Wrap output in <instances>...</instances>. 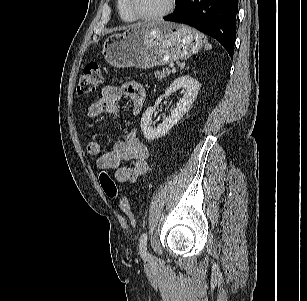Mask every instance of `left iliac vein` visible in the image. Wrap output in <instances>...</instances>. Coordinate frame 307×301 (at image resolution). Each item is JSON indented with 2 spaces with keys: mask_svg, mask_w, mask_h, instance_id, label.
Wrapping results in <instances>:
<instances>
[{
  "mask_svg": "<svg viewBox=\"0 0 307 301\" xmlns=\"http://www.w3.org/2000/svg\"><path fill=\"white\" fill-rule=\"evenodd\" d=\"M146 260L149 261V262L152 261L153 260V255L150 254V253H147Z\"/></svg>",
  "mask_w": 307,
  "mask_h": 301,
  "instance_id": "1",
  "label": "left iliac vein"
}]
</instances>
